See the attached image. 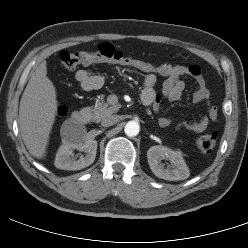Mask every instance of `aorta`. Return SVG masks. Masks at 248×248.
Listing matches in <instances>:
<instances>
[{"mask_svg":"<svg viewBox=\"0 0 248 248\" xmlns=\"http://www.w3.org/2000/svg\"><path fill=\"white\" fill-rule=\"evenodd\" d=\"M125 134L129 137L137 136L140 132V126L139 123L136 121H129L125 125Z\"/></svg>","mask_w":248,"mask_h":248,"instance_id":"762f6f07","label":"aorta"}]
</instances>
